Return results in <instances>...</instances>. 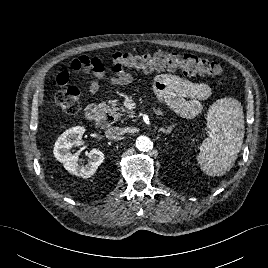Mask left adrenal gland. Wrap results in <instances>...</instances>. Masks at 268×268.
I'll return each mask as SVG.
<instances>
[{
  "label": "left adrenal gland",
  "mask_w": 268,
  "mask_h": 268,
  "mask_svg": "<svg viewBox=\"0 0 268 268\" xmlns=\"http://www.w3.org/2000/svg\"><path fill=\"white\" fill-rule=\"evenodd\" d=\"M174 127H176V124L169 126L167 129L162 128L161 130L163 133H171Z\"/></svg>",
  "instance_id": "left-adrenal-gland-1"
}]
</instances>
